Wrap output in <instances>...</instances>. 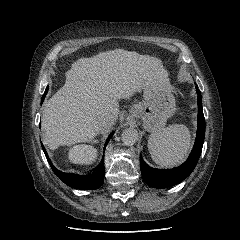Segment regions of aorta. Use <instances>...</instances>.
Instances as JSON below:
<instances>
[{
    "instance_id": "1",
    "label": "aorta",
    "mask_w": 240,
    "mask_h": 240,
    "mask_svg": "<svg viewBox=\"0 0 240 240\" xmlns=\"http://www.w3.org/2000/svg\"><path fill=\"white\" fill-rule=\"evenodd\" d=\"M139 134L135 128H127L122 132L121 138L126 146L134 145L138 140Z\"/></svg>"
}]
</instances>
